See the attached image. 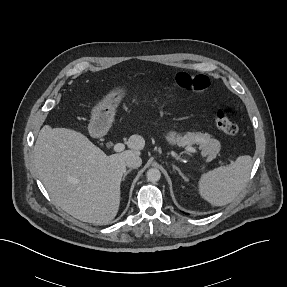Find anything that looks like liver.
<instances>
[{"label":"liver","instance_id":"1","mask_svg":"<svg viewBox=\"0 0 287 287\" xmlns=\"http://www.w3.org/2000/svg\"><path fill=\"white\" fill-rule=\"evenodd\" d=\"M126 144L129 150L107 156L85 135L45 125L34 147L35 166L58 207L83 222L108 224L119 210L126 159L140 155L144 140L132 135Z\"/></svg>","mask_w":287,"mask_h":287}]
</instances>
